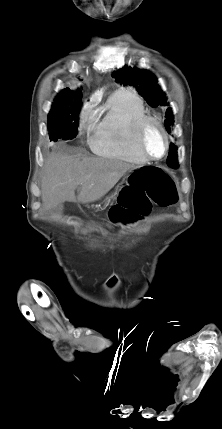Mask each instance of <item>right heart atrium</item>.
Returning <instances> with one entry per match:
<instances>
[{
    "label": "right heart atrium",
    "instance_id": "1",
    "mask_svg": "<svg viewBox=\"0 0 222 429\" xmlns=\"http://www.w3.org/2000/svg\"><path fill=\"white\" fill-rule=\"evenodd\" d=\"M97 115L95 111V106L93 102L87 103L84 105L81 114H80V131L88 132L91 131L96 124Z\"/></svg>",
    "mask_w": 222,
    "mask_h": 429
}]
</instances>
